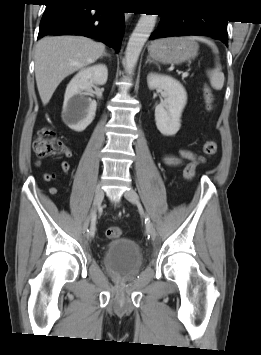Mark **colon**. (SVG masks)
Wrapping results in <instances>:
<instances>
[{"label":"colon","instance_id":"1","mask_svg":"<svg viewBox=\"0 0 261 355\" xmlns=\"http://www.w3.org/2000/svg\"><path fill=\"white\" fill-rule=\"evenodd\" d=\"M204 98L208 111L214 108V95L210 87H204ZM34 152L40 158H57L64 154L66 150L65 143L57 137L52 127L44 126L39 132L33 145ZM217 151V143L215 140H208L204 143L201 155L197 160L189 162L184 170L183 175L187 180H192L196 174L197 166L200 163L213 156ZM122 229L118 226H111L106 230V236L110 239H116L122 236Z\"/></svg>","mask_w":261,"mask_h":355}]
</instances>
